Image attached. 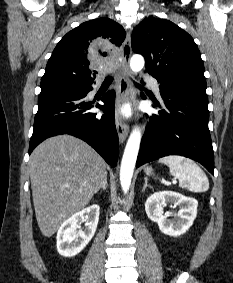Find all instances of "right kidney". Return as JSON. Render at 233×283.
<instances>
[{
	"mask_svg": "<svg viewBox=\"0 0 233 283\" xmlns=\"http://www.w3.org/2000/svg\"><path fill=\"white\" fill-rule=\"evenodd\" d=\"M100 207L93 204L69 217L57 232V251L64 257L80 253L93 238L99 220ZM85 228L81 229V223Z\"/></svg>",
	"mask_w": 233,
	"mask_h": 283,
	"instance_id": "ca27d5eb",
	"label": "right kidney"
}]
</instances>
